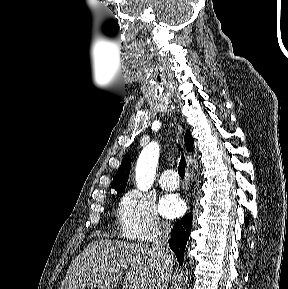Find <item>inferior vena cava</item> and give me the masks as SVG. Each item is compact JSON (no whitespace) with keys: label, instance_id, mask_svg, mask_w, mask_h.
I'll list each match as a JSON object with an SVG mask.
<instances>
[{"label":"inferior vena cava","instance_id":"inferior-vena-cava-1","mask_svg":"<svg viewBox=\"0 0 288 289\" xmlns=\"http://www.w3.org/2000/svg\"><path fill=\"white\" fill-rule=\"evenodd\" d=\"M171 227L169 224H163L160 228L157 239L153 246V250L162 259L165 269L169 271L172 265V251L169 248V237H170Z\"/></svg>","mask_w":288,"mask_h":289}]
</instances>
